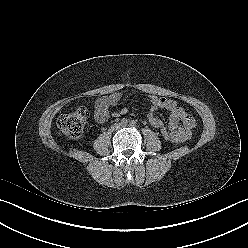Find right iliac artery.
<instances>
[{
  "label": "right iliac artery",
  "instance_id": "right-iliac-artery-1",
  "mask_svg": "<svg viewBox=\"0 0 248 248\" xmlns=\"http://www.w3.org/2000/svg\"><path fill=\"white\" fill-rule=\"evenodd\" d=\"M128 123V120L126 119V118H123L122 120H121V124H127Z\"/></svg>",
  "mask_w": 248,
  "mask_h": 248
}]
</instances>
